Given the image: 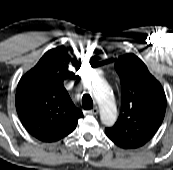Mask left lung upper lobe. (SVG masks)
<instances>
[{
    "instance_id": "obj_1",
    "label": "left lung upper lobe",
    "mask_w": 173,
    "mask_h": 170,
    "mask_svg": "<svg viewBox=\"0 0 173 170\" xmlns=\"http://www.w3.org/2000/svg\"><path fill=\"white\" fill-rule=\"evenodd\" d=\"M122 87V107L114 126L105 129L110 140L124 149L143 146L160 127L166 96L158 80L134 54L115 63Z\"/></svg>"
}]
</instances>
